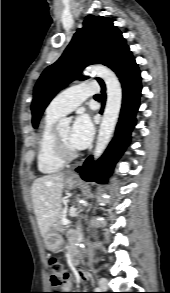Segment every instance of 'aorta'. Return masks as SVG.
<instances>
[{"instance_id": "aorta-1", "label": "aorta", "mask_w": 170, "mask_h": 293, "mask_svg": "<svg viewBox=\"0 0 170 293\" xmlns=\"http://www.w3.org/2000/svg\"><path fill=\"white\" fill-rule=\"evenodd\" d=\"M87 71L92 75L100 77L106 85L107 89V101L101 124L99 127V133L96 141L94 150V158L97 159L101 156L104 149L106 148L109 140L114 131L117 119L120 114L122 105V88L116 74L108 67L104 65H92L87 68ZM70 119L64 118L60 120L59 124H68ZM82 241L81 226L78 222L77 226V242L78 245Z\"/></svg>"}]
</instances>
